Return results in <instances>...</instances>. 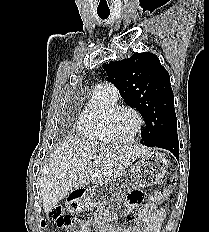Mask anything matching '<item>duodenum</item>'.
I'll list each match as a JSON object with an SVG mask.
<instances>
[{"label": "duodenum", "instance_id": "obj_1", "mask_svg": "<svg viewBox=\"0 0 209 232\" xmlns=\"http://www.w3.org/2000/svg\"><path fill=\"white\" fill-rule=\"evenodd\" d=\"M84 193H85L84 188H78L73 192L71 198H80L84 195Z\"/></svg>", "mask_w": 209, "mask_h": 232}]
</instances>
